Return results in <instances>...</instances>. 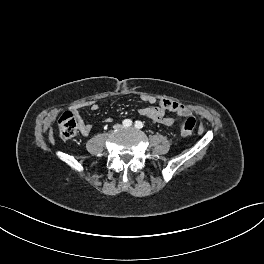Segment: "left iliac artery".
<instances>
[{
	"label": "left iliac artery",
	"mask_w": 264,
	"mask_h": 264,
	"mask_svg": "<svg viewBox=\"0 0 264 264\" xmlns=\"http://www.w3.org/2000/svg\"><path fill=\"white\" fill-rule=\"evenodd\" d=\"M135 128L141 129L143 127V123L141 121H136L134 124Z\"/></svg>",
	"instance_id": "obj_1"
}]
</instances>
